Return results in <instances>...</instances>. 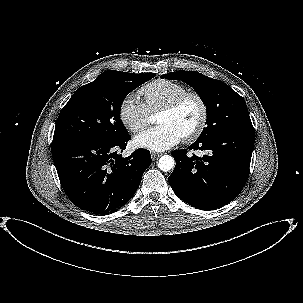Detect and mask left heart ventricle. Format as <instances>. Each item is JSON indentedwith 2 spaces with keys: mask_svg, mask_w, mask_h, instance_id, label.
Here are the masks:
<instances>
[{
  "mask_svg": "<svg viewBox=\"0 0 303 303\" xmlns=\"http://www.w3.org/2000/svg\"><path fill=\"white\" fill-rule=\"evenodd\" d=\"M200 107L193 98L187 99L176 111L170 113H158V124H169L183 137L192 131L198 124Z\"/></svg>",
  "mask_w": 303,
  "mask_h": 303,
  "instance_id": "obj_1",
  "label": "left heart ventricle"
}]
</instances>
